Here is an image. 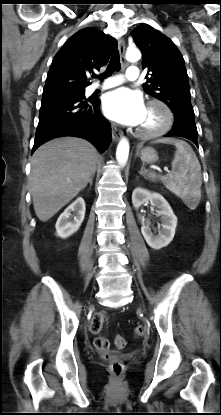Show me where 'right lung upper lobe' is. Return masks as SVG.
Returning <instances> with one entry per match:
<instances>
[{"mask_svg": "<svg viewBox=\"0 0 221 415\" xmlns=\"http://www.w3.org/2000/svg\"><path fill=\"white\" fill-rule=\"evenodd\" d=\"M117 41L97 29L86 27L68 39L55 55L43 95L85 89L87 73L108 63Z\"/></svg>", "mask_w": 221, "mask_h": 415, "instance_id": "right-lung-upper-lobe-1", "label": "right lung upper lobe"}]
</instances>
